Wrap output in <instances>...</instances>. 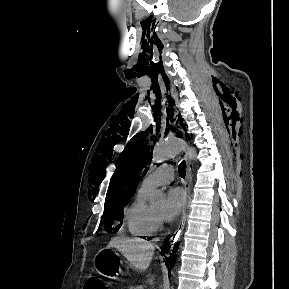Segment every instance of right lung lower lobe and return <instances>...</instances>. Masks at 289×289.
Masks as SVG:
<instances>
[{
    "label": "right lung lower lobe",
    "mask_w": 289,
    "mask_h": 289,
    "mask_svg": "<svg viewBox=\"0 0 289 289\" xmlns=\"http://www.w3.org/2000/svg\"><path fill=\"white\" fill-rule=\"evenodd\" d=\"M169 248H170V245H169V244L163 245L162 251H163V252H164V251H167ZM176 250H177V248H176ZM174 253H175V251H174V249H173V252H172V254L170 255V261L168 262V264L170 265L169 271H170V269L172 268L173 263H174V260H175Z\"/></svg>",
    "instance_id": "obj_1"
}]
</instances>
